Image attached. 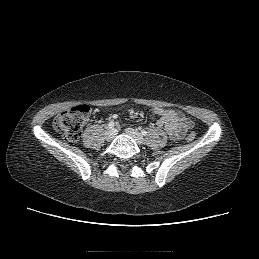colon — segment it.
<instances>
[{"instance_id": "obj_1", "label": "colon", "mask_w": 259, "mask_h": 259, "mask_svg": "<svg viewBox=\"0 0 259 259\" xmlns=\"http://www.w3.org/2000/svg\"><path fill=\"white\" fill-rule=\"evenodd\" d=\"M91 109L88 105H78L59 113L53 122L54 128L69 142H76L80 139L82 128L89 120ZM196 135L189 132L186 135L187 141H193Z\"/></svg>"}]
</instances>
